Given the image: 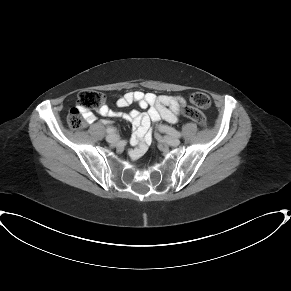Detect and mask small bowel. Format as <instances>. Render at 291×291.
Segmentation results:
<instances>
[{
  "instance_id": "small-bowel-1",
  "label": "small bowel",
  "mask_w": 291,
  "mask_h": 291,
  "mask_svg": "<svg viewBox=\"0 0 291 291\" xmlns=\"http://www.w3.org/2000/svg\"><path fill=\"white\" fill-rule=\"evenodd\" d=\"M185 102V98L180 96H157L153 93L131 91L120 95L116 105L119 108H123L132 103H137L139 108L147 109L146 113H142L138 110H132L128 113H117L111 110L108 105H103L98 112L102 116L120 117L131 123L134 129L132 142L134 145L138 144V146L130 151V156L132 158H137L146 151L147 145L151 140V132L149 130L151 122L159 121L161 118L176 122L178 119V112ZM82 115L90 124L97 121L95 115L87 109L82 111ZM106 123H109V121H106Z\"/></svg>"
}]
</instances>
